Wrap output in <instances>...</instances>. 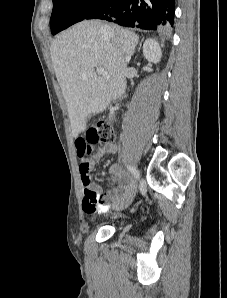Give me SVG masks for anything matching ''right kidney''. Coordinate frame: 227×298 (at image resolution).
<instances>
[{
	"mask_svg": "<svg viewBox=\"0 0 227 298\" xmlns=\"http://www.w3.org/2000/svg\"><path fill=\"white\" fill-rule=\"evenodd\" d=\"M143 55L148 62L158 63L162 57L159 43L154 39H147L143 45Z\"/></svg>",
	"mask_w": 227,
	"mask_h": 298,
	"instance_id": "1",
	"label": "right kidney"
}]
</instances>
